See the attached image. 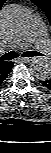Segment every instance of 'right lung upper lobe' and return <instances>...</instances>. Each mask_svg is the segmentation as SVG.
Returning <instances> with one entry per match:
<instances>
[{
	"instance_id": "1",
	"label": "right lung upper lobe",
	"mask_w": 51,
	"mask_h": 153,
	"mask_svg": "<svg viewBox=\"0 0 51 153\" xmlns=\"http://www.w3.org/2000/svg\"><path fill=\"white\" fill-rule=\"evenodd\" d=\"M6 0H0V9ZM9 62L0 60V77L3 73H5V69H7Z\"/></svg>"
}]
</instances>
